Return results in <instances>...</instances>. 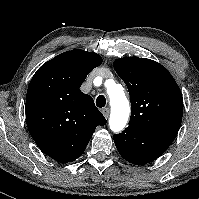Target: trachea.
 Masks as SVG:
<instances>
[{
	"instance_id": "obj_1",
	"label": "trachea",
	"mask_w": 199,
	"mask_h": 199,
	"mask_svg": "<svg viewBox=\"0 0 199 199\" xmlns=\"http://www.w3.org/2000/svg\"><path fill=\"white\" fill-rule=\"evenodd\" d=\"M96 105L98 108L102 109L106 105V99L103 95H99L96 99Z\"/></svg>"
}]
</instances>
